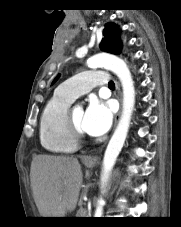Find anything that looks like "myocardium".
<instances>
[{
    "label": "myocardium",
    "mask_w": 181,
    "mask_h": 227,
    "mask_svg": "<svg viewBox=\"0 0 181 227\" xmlns=\"http://www.w3.org/2000/svg\"><path fill=\"white\" fill-rule=\"evenodd\" d=\"M66 123L68 130L72 137L78 142L84 138V132L82 129H80L74 122L72 118V110L68 109L67 115H66Z\"/></svg>",
    "instance_id": "myocardium-1"
}]
</instances>
